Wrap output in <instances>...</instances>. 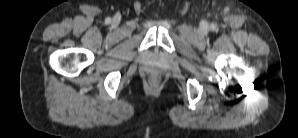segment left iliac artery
Here are the masks:
<instances>
[{"label": "left iliac artery", "instance_id": "1", "mask_svg": "<svg viewBox=\"0 0 298 138\" xmlns=\"http://www.w3.org/2000/svg\"><path fill=\"white\" fill-rule=\"evenodd\" d=\"M211 29H212V30H214V29H215V26H214V25H212V26H211Z\"/></svg>", "mask_w": 298, "mask_h": 138}]
</instances>
